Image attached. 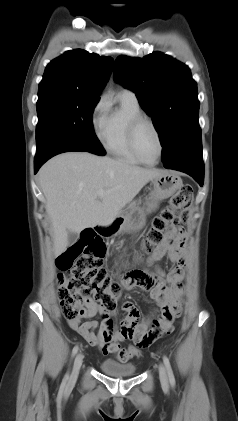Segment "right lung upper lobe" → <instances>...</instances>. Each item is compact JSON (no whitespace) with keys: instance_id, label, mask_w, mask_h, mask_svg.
<instances>
[{"instance_id":"right-lung-upper-lobe-1","label":"right lung upper lobe","mask_w":238,"mask_h":421,"mask_svg":"<svg viewBox=\"0 0 238 421\" xmlns=\"http://www.w3.org/2000/svg\"><path fill=\"white\" fill-rule=\"evenodd\" d=\"M113 59L83 49L66 51L51 61L39 84L42 89H60L99 96L110 76Z\"/></svg>"}]
</instances>
